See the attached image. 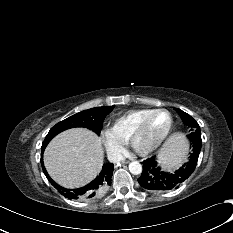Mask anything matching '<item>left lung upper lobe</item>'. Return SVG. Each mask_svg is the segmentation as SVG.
Instances as JSON below:
<instances>
[{
    "instance_id": "5c2ea615",
    "label": "left lung upper lobe",
    "mask_w": 233,
    "mask_h": 233,
    "mask_svg": "<svg viewBox=\"0 0 233 233\" xmlns=\"http://www.w3.org/2000/svg\"><path fill=\"white\" fill-rule=\"evenodd\" d=\"M175 110L179 113L180 117L183 119L184 124L190 127L191 134L188 137L192 141V146L196 142L202 143L201 131L198 123L189 114L185 113L181 109L175 108Z\"/></svg>"
}]
</instances>
